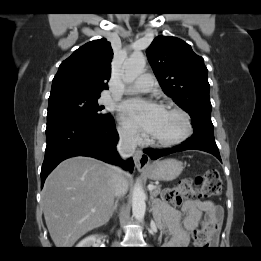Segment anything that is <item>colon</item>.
Returning a JSON list of instances; mask_svg holds the SVG:
<instances>
[{"instance_id":"1","label":"colon","mask_w":261,"mask_h":261,"mask_svg":"<svg viewBox=\"0 0 261 261\" xmlns=\"http://www.w3.org/2000/svg\"><path fill=\"white\" fill-rule=\"evenodd\" d=\"M198 187V188H195ZM223 182L216 170H207L194 180L184 179L175 188L163 193V199L172 204L180 205L183 200L191 198H210L222 193ZM216 225L205 221L195 234V244L199 247H209L213 242Z\"/></svg>"}]
</instances>
